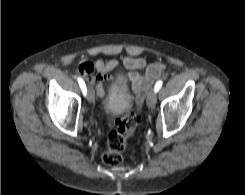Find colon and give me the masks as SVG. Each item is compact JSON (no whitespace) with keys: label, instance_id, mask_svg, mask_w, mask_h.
I'll return each mask as SVG.
<instances>
[{"label":"colon","instance_id":"obj_1","mask_svg":"<svg viewBox=\"0 0 245 195\" xmlns=\"http://www.w3.org/2000/svg\"><path fill=\"white\" fill-rule=\"evenodd\" d=\"M139 112H133L115 120L108 134L107 146L102 153V160L111 166L119 165L124 156L125 143L140 123Z\"/></svg>","mask_w":245,"mask_h":195}]
</instances>
